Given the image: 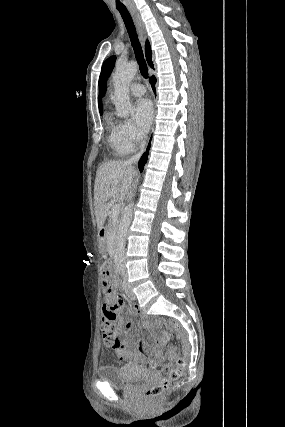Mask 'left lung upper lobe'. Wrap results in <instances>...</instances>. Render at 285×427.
Here are the masks:
<instances>
[{"label": "left lung upper lobe", "mask_w": 285, "mask_h": 427, "mask_svg": "<svg viewBox=\"0 0 285 427\" xmlns=\"http://www.w3.org/2000/svg\"><path fill=\"white\" fill-rule=\"evenodd\" d=\"M115 63V56L108 58L101 69V74L99 78V90L100 94L104 95L106 90V79L109 77Z\"/></svg>", "instance_id": "obj_1"}]
</instances>
